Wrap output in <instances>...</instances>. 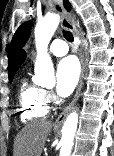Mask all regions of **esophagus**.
<instances>
[{
  "mask_svg": "<svg viewBox=\"0 0 114 156\" xmlns=\"http://www.w3.org/2000/svg\"><path fill=\"white\" fill-rule=\"evenodd\" d=\"M55 11L60 15L61 17V25L62 27L68 29L71 31L74 35L75 45L78 50V56L81 63V73H80V79L78 82V86L76 89V93L72 99V101L69 103V105L59 114L57 119L55 120L54 125L56 127L61 126L64 120L66 119L67 115L70 113V111L73 109L75 103L77 102L80 91L83 85V78H84V70H85V63H84V51L83 46L81 44V40L79 38L78 32L76 30V27L72 21L71 15L67 12V10L64 8L63 3L61 0H50Z\"/></svg>",
  "mask_w": 114,
  "mask_h": 156,
  "instance_id": "1",
  "label": "esophagus"
}]
</instances>
